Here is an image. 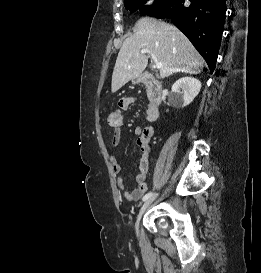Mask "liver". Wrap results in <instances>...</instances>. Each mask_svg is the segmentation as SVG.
<instances>
[{
    "instance_id": "liver-1",
    "label": "liver",
    "mask_w": 261,
    "mask_h": 273,
    "mask_svg": "<svg viewBox=\"0 0 261 273\" xmlns=\"http://www.w3.org/2000/svg\"><path fill=\"white\" fill-rule=\"evenodd\" d=\"M143 48L149 49L162 63L161 78L177 72L199 74L204 67L200 54L175 26L143 17L118 53L112 74V93L143 73L148 64V56L140 53Z\"/></svg>"
}]
</instances>
